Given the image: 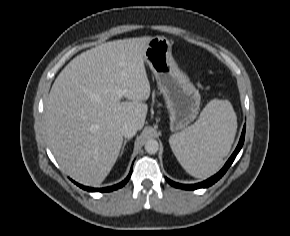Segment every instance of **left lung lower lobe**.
Instances as JSON below:
<instances>
[{
  "mask_svg": "<svg viewBox=\"0 0 290 236\" xmlns=\"http://www.w3.org/2000/svg\"><path fill=\"white\" fill-rule=\"evenodd\" d=\"M245 128H246V125H244V127H243L241 138H240V141H239L238 146L236 147L235 151L233 152L231 157L228 159V161L226 162L224 167L217 174H215L211 178H209L203 182L197 183V184H188V185L179 184V183L173 182V181L169 180L168 178H166L167 182L176 188H181V189H185V190H195L198 188H206V187L213 185L215 182H217L225 174V172L231 166V164L235 160L237 154L241 150L243 143H244V139H245Z\"/></svg>",
  "mask_w": 290,
  "mask_h": 236,
  "instance_id": "obj_1",
  "label": "left lung lower lobe"
}]
</instances>
